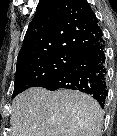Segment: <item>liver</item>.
<instances>
[{"label":"liver","instance_id":"liver-1","mask_svg":"<svg viewBox=\"0 0 117 136\" xmlns=\"http://www.w3.org/2000/svg\"><path fill=\"white\" fill-rule=\"evenodd\" d=\"M102 122L99 103L80 91L33 87L11 106L12 136H97Z\"/></svg>","mask_w":117,"mask_h":136}]
</instances>
